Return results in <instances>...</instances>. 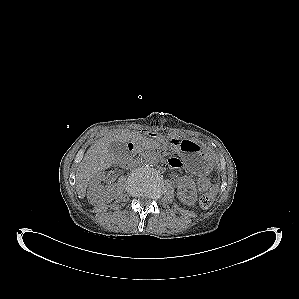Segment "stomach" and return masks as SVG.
I'll return each mask as SVG.
<instances>
[{
	"instance_id": "1",
	"label": "stomach",
	"mask_w": 299,
	"mask_h": 299,
	"mask_svg": "<svg viewBox=\"0 0 299 299\" xmlns=\"http://www.w3.org/2000/svg\"><path fill=\"white\" fill-rule=\"evenodd\" d=\"M183 155L186 165L196 173L208 170L211 164L209 152L197 141L190 138L164 137L160 140Z\"/></svg>"
}]
</instances>
